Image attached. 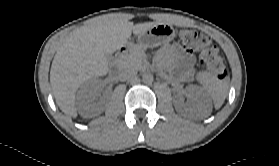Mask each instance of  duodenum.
Returning a JSON list of instances; mask_svg holds the SVG:
<instances>
[{
    "instance_id": "1",
    "label": "duodenum",
    "mask_w": 279,
    "mask_h": 166,
    "mask_svg": "<svg viewBox=\"0 0 279 166\" xmlns=\"http://www.w3.org/2000/svg\"><path fill=\"white\" fill-rule=\"evenodd\" d=\"M132 43L127 42L123 44L116 53V62H115V68H118L121 65L122 59L125 56V54L132 48Z\"/></svg>"
}]
</instances>
